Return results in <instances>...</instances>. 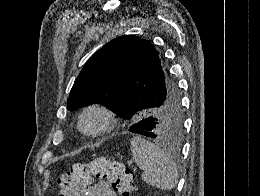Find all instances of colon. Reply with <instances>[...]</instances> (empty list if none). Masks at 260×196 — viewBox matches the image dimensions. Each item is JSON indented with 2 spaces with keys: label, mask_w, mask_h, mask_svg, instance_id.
<instances>
[{
  "label": "colon",
  "mask_w": 260,
  "mask_h": 196,
  "mask_svg": "<svg viewBox=\"0 0 260 196\" xmlns=\"http://www.w3.org/2000/svg\"><path fill=\"white\" fill-rule=\"evenodd\" d=\"M132 170L122 161L95 159L87 164H78L57 179L58 196H81L86 186L109 182L118 192H132Z\"/></svg>",
  "instance_id": "obj_1"
}]
</instances>
